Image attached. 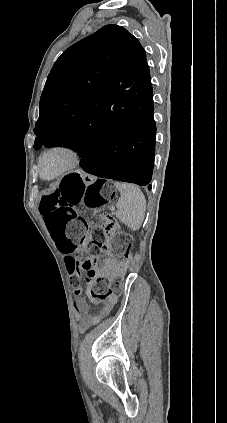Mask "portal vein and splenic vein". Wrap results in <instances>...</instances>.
Here are the masks:
<instances>
[{
    "label": "portal vein and splenic vein",
    "mask_w": 227,
    "mask_h": 423,
    "mask_svg": "<svg viewBox=\"0 0 227 423\" xmlns=\"http://www.w3.org/2000/svg\"><path fill=\"white\" fill-rule=\"evenodd\" d=\"M111 212H112V213H115V212H116V206H115V205H112V206H111Z\"/></svg>",
    "instance_id": "18ae733b"
}]
</instances>
